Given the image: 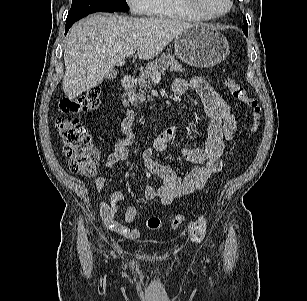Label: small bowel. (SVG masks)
Segmentation results:
<instances>
[{
  "instance_id": "c3829d8e",
  "label": "small bowel",
  "mask_w": 307,
  "mask_h": 301,
  "mask_svg": "<svg viewBox=\"0 0 307 301\" xmlns=\"http://www.w3.org/2000/svg\"><path fill=\"white\" fill-rule=\"evenodd\" d=\"M188 89L194 90L200 97L204 109L211 118V126L207 139L204 142L185 140L186 145L178 148L179 154L195 167L183 178L178 177L168 166L159 163L154 154L165 153L170 149V143L181 135L177 126H169L160 132L154 139L153 146L144 150L142 154L143 168L148 178L156 177L158 184L147 181L144 197L147 201L159 200L164 206L174 200L191 195L201 190L210 176L222 169L221 155L225 142L234 134L237 128V118L231 111L229 104L213 89L202 77L190 80L177 79L173 84L175 94L181 95ZM135 121V112L129 110L119 122V129L123 138L118 141L113 151L109 153L105 168L126 161L130 156L129 146L134 141L132 125ZM98 192L106 187V178L99 176L95 181ZM124 194L115 192L108 201L100 204V216L106 226L113 232L127 238L137 239L140 231L130 227L138 214V208L129 207L124 214V223L117 220Z\"/></svg>"
}]
</instances>
